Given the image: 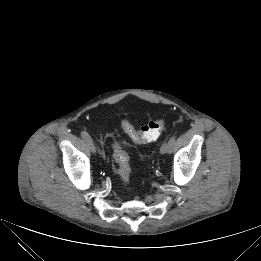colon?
Returning <instances> with one entry per match:
<instances>
[{"label":"colon","instance_id":"5ec220e1","mask_svg":"<svg viewBox=\"0 0 261 261\" xmlns=\"http://www.w3.org/2000/svg\"><path fill=\"white\" fill-rule=\"evenodd\" d=\"M121 127L132 140L138 143H145L156 140L160 136L164 128V121L162 119L151 120L140 129H135L128 120L123 119L121 121ZM112 149L114 171L124 184H128L131 175L129 157L122 146L117 142L112 144Z\"/></svg>","mask_w":261,"mask_h":261}]
</instances>
